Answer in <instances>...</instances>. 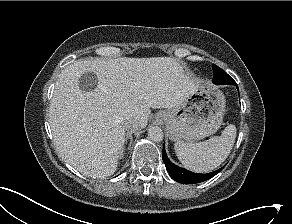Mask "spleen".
I'll use <instances>...</instances> for the list:
<instances>
[{"instance_id": "1", "label": "spleen", "mask_w": 292, "mask_h": 224, "mask_svg": "<svg viewBox=\"0 0 292 224\" xmlns=\"http://www.w3.org/2000/svg\"><path fill=\"white\" fill-rule=\"evenodd\" d=\"M236 138V127L228 125L221 136L200 143L175 142L179 161L188 170L207 173L220 166L230 154Z\"/></svg>"}]
</instances>
